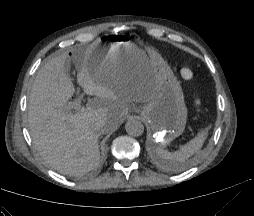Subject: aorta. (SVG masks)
Returning <instances> with one entry per match:
<instances>
[{"label":"aorta","mask_w":254,"mask_h":216,"mask_svg":"<svg viewBox=\"0 0 254 216\" xmlns=\"http://www.w3.org/2000/svg\"><path fill=\"white\" fill-rule=\"evenodd\" d=\"M125 129L128 135L133 137L141 136L144 133V125L137 119H130L125 124Z\"/></svg>","instance_id":"1"}]
</instances>
